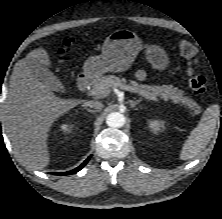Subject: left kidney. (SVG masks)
<instances>
[{"mask_svg":"<svg viewBox=\"0 0 222 219\" xmlns=\"http://www.w3.org/2000/svg\"><path fill=\"white\" fill-rule=\"evenodd\" d=\"M149 127L153 133L161 132L165 129L164 121L152 119L149 121Z\"/></svg>","mask_w":222,"mask_h":219,"instance_id":"1","label":"left kidney"}]
</instances>
